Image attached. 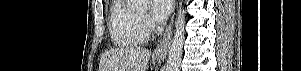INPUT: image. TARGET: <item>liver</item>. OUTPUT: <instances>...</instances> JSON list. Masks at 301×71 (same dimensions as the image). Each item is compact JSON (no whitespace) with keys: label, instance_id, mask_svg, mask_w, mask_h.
<instances>
[{"label":"liver","instance_id":"1","mask_svg":"<svg viewBox=\"0 0 301 71\" xmlns=\"http://www.w3.org/2000/svg\"><path fill=\"white\" fill-rule=\"evenodd\" d=\"M151 52L132 46L113 49L102 59L103 71H146Z\"/></svg>","mask_w":301,"mask_h":71}]
</instances>
